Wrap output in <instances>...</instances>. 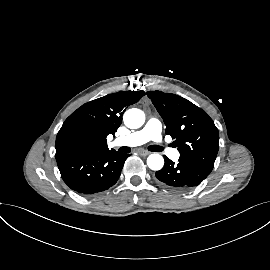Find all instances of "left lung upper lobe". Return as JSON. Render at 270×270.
Here are the masks:
<instances>
[{
    "instance_id": "obj_1",
    "label": "left lung upper lobe",
    "mask_w": 270,
    "mask_h": 270,
    "mask_svg": "<svg viewBox=\"0 0 270 270\" xmlns=\"http://www.w3.org/2000/svg\"><path fill=\"white\" fill-rule=\"evenodd\" d=\"M166 125L165 132L175 139L180 158L213 169L219 149V134L212 119L190 101L170 93L147 92Z\"/></svg>"
}]
</instances>
